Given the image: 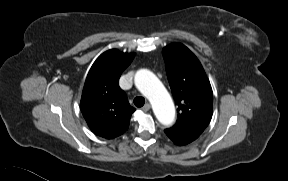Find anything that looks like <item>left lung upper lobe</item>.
Masks as SVG:
<instances>
[{"mask_svg":"<svg viewBox=\"0 0 288 181\" xmlns=\"http://www.w3.org/2000/svg\"><path fill=\"white\" fill-rule=\"evenodd\" d=\"M172 94L178 105L175 126L164 131L199 136L213 111V92L197 57L183 44L172 43L162 50Z\"/></svg>","mask_w":288,"mask_h":181,"instance_id":"1","label":"left lung upper lobe"}]
</instances>
